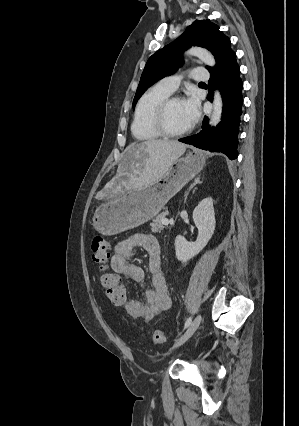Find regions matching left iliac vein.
I'll return each instance as SVG.
<instances>
[{
	"label": "left iliac vein",
	"mask_w": 299,
	"mask_h": 426,
	"mask_svg": "<svg viewBox=\"0 0 299 426\" xmlns=\"http://www.w3.org/2000/svg\"><path fill=\"white\" fill-rule=\"evenodd\" d=\"M202 320V315L198 314L195 319L191 322V324L189 325V327L187 328V330L185 331V333L175 341L172 349H175L179 346H181L182 344H184L194 333L195 331L198 329L200 323Z\"/></svg>",
	"instance_id": "1"
}]
</instances>
